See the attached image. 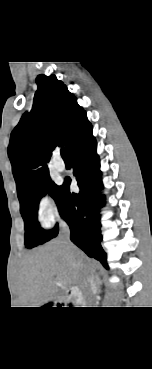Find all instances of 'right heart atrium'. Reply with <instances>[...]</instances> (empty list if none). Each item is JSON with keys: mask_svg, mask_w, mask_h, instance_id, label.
Returning a JSON list of instances; mask_svg holds the SVG:
<instances>
[{"mask_svg": "<svg viewBox=\"0 0 152 369\" xmlns=\"http://www.w3.org/2000/svg\"><path fill=\"white\" fill-rule=\"evenodd\" d=\"M37 219L43 228H50L59 215L55 199L49 194H43L37 202Z\"/></svg>", "mask_w": 152, "mask_h": 369, "instance_id": "obj_1", "label": "right heart atrium"}]
</instances>
